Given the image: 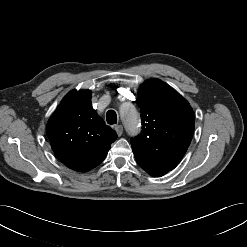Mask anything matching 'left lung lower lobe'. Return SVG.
Returning <instances> with one entry per match:
<instances>
[{"mask_svg":"<svg viewBox=\"0 0 247 247\" xmlns=\"http://www.w3.org/2000/svg\"><path fill=\"white\" fill-rule=\"evenodd\" d=\"M168 171H170V169H162L161 171H159L157 173H150V175L158 177V176H162V175L166 174Z\"/></svg>","mask_w":247,"mask_h":247,"instance_id":"0a47b994","label":"left lung lower lobe"}]
</instances>
